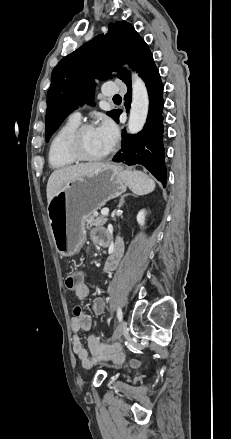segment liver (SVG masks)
<instances>
[{
  "label": "liver",
  "mask_w": 231,
  "mask_h": 439,
  "mask_svg": "<svg viewBox=\"0 0 231 439\" xmlns=\"http://www.w3.org/2000/svg\"><path fill=\"white\" fill-rule=\"evenodd\" d=\"M102 165L103 163H82L62 167L53 171L48 179L46 189L48 204L66 184L76 180L79 177L91 174Z\"/></svg>",
  "instance_id": "obj_1"
}]
</instances>
